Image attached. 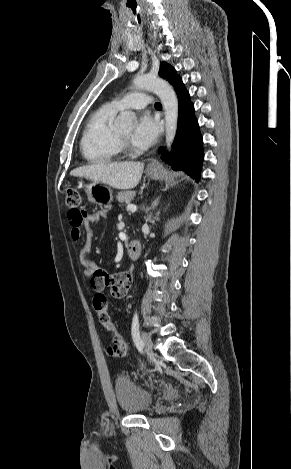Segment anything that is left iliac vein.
<instances>
[{"label":"left iliac vein","instance_id":"obj_1","mask_svg":"<svg viewBox=\"0 0 291 469\" xmlns=\"http://www.w3.org/2000/svg\"><path fill=\"white\" fill-rule=\"evenodd\" d=\"M142 340L150 360L153 361L156 358V355L153 352V344L150 336L144 332L142 333Z\"/></svg>","mask_w":291,"mask_h":469}]
</instances>
